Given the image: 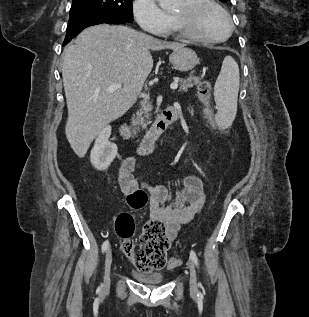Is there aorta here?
I'll use <instances>...</instances> for the list:
<instances>
[{"mask_svg": "<svg viewBox=\"0 0 309 317\" xmlns=\"http://www.w3.org/2000/svg\"><path fill=\"white\" fill-rule=\"evenodd\" d=\"M160 7L164 10H172L177 4V0H157Z\"/></svg>", "mask_w": 309, "mask_h": 317, "instance_id": "obj_1", "label": "aorta"}]
</instances>
